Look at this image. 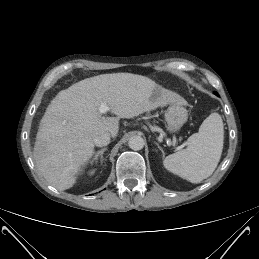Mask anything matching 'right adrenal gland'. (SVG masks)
Segmentation results:
<instances>
[{
    "mask_svg": "<svg viewBox=\"0 0 259 259\" xmlns=\"http://www.w3.org/2000/svg\"><path fill=\"white\" fill-rule=\"evenodd\" d=\"M107 150L106 147L102 148L101 150L97 151V153L95 154L94 158L91 160V164H93V162H97L98 158L100 157L101 162H103V153Z\"/></svg>",
    "mask_w": 259,
    "mask_h": 259,
    "instance_id": "2a0ac1e0",
    "label": "right adrenal gland"
}]
</instances>
